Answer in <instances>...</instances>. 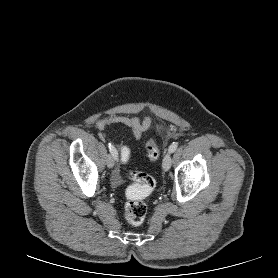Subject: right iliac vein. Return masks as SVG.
I'll return each instance as SVG.
<instances>
[{
	"mask_svg": "<svg viewBox=\"0 0 278 278\" xmlns=\"http://www.w3.org/2000/svg\"><path fill=\"white\" fill-rule=\"evenodd\" d=\"M115 164V158L113 155H108L106 159V165L109 168H112Z\"/></svg>",
	"mask_w": 278,
	"mask_h": 278,
	"instance_id": "right-iliac-vein-1",
	"label": "right iliac vein"
}]
</instances>
